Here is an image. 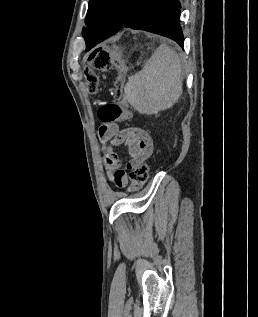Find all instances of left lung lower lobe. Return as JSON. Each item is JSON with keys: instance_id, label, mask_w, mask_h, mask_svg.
Returning a JSON list of instances; mask_svg holds the SVG:
<instances>
[{"instance_id": "left-lung-lower-lobe-1", "label": "left lung lower lobe", "mask_w": 258, "mask_h": 317, "mask_svg": "<svg viewBox=\"0 0 258 317\" xmlns=\"http://www.w3.org/2000/svg\"><path fill=\"white\" fill-rule=\"evenodd\" d=\"M180 14L179 0H131L121 27L100 26L84 36L86 51L124 27L170 38L184 48V37L179 24Z\"/></svg>"}]
</instances>
